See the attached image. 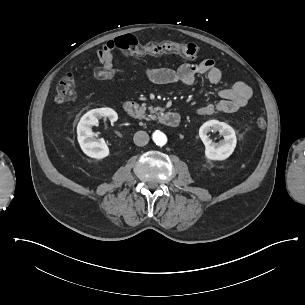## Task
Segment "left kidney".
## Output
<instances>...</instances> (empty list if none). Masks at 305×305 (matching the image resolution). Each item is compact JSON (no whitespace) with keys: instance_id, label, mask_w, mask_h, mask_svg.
Listing matches in <instances>:
<instances>
[{"instance_id":"1","label":"left kidney","mask_w":305,"mask_h":305,"mask_svg":"<svg viewBox=\"0 0 305 305\" xmlns=\"http://www.w3.org/2000/svg\"><path fill=\"white\" fill-rule=\"evenodd\" d=\"M219 131L223 134L224 140L215 145L208 137V132ZM199 137L205 145V157L211 161H224L234 152L237 145V138L234 129L218 120H209L199 128Z\"/></svg>"}]
</instances>
